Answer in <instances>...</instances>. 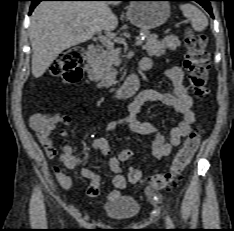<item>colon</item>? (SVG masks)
Masks as SVG:
<instances>
[{
    "label": "colon",
    "instance_id": "1",
    "mask_svg": "<svg viewBox=\"0 0 234 231\" xmlns=\"http://www.w3.org/2000/svg\"><path fill=\"white\" fill-rule=\"evenodd\" d=\"M184 44L186 47L184 67L188 72L189 82L195 96L202 99L208 92L209 53L206 50V37L188 31L184 37ZM83 58L84 53L81 47L74 46L66 49L52 65V74L69 83L79 81L82 77L80 65ZM201 139L200 130L191 132L175 154L169 170L150 175L147 178L151 194L155 195L157 191L168 188L181 176L197 152ZM133 155L131 149H124L121 151L119 159L127 162L133 158ZM128 179L132 184H141L145 181L142 171L138 169L130 170Z\"/></svg>",
    "mask_w": 234,
    "mask_h": 231
}]
</instances>
